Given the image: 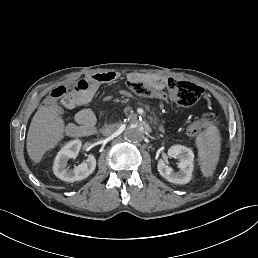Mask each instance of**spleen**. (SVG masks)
<instances>
[{"instance_id":"1","label":"spleen","mask_w":258,"mask_h":258,"mask_svg":"<svg viewBox=\"0 0 258 258\" xmlns=\"http://www.w3.org/2000/svg\"><path fill=\"white\" fill-rule=\"evenodd\" d=\"M199 165L203 176H212L219 161L221 149L220 132L216 126H209L196 137Z\"/></svg>"}]
</instances>
